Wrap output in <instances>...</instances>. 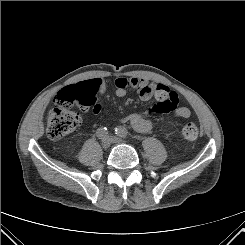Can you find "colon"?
<instances>
[{
    "mask_svg": "<svg viewBox=\"0 0 245 245\" xmlns=\"http://www.w3.org/2000/svg\"><path fill=\"white\" fill-rule=\"evenodd\" d=\"M99 87L95 81L87 80L67 86L57 94L54 108L48 115L47 135L52 140H60L73 132L80 124V116L71 108L78 105L86 109L96 102ZM199 133L198 126L189 122L182 128L187 140H194Z\"/></svg>",
    "mask_w": 245,
    "mask_h": 245,
    "instance_id": "colon-1",
    "label": "colon"
}]
</instances>
